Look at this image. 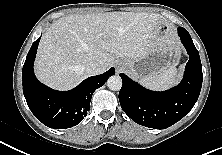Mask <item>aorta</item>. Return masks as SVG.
<instances>
[{
    "mask_svg": "<svg viewBox=\"0 0 222 155\" xmlns=\"http://www.w3.org/2000/svg\"><path fill=\"white\" fill-rule=\"evenodd\" d=\"M107 86L112 91H118L122 87V79L120 76L114 75L107 80Z\"/></svg>",
    "mask_w": 222,
    "mask_h": 155,
    "instance_id": "aorta-1",
    "label": "aorta"
}]
</instances>
